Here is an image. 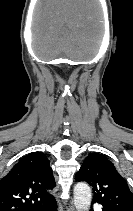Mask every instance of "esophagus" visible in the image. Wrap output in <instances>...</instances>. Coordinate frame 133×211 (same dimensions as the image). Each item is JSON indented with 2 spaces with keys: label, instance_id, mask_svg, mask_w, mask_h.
I'll return each mask as SVG.
<instances>
[{
  "label": "esophagus",
  "instance_id": "1",
  "mask_svg": "<svg viewBox=\"0 0 133 211\" xmlns=\"http://www.w3.org/2000/svg\"><path fill=\"white\" fill-rule=\"evenodd\" d=\"M68 211H76V210H75V207L71 204L68 208Z\"/></svg>",
  "mask_w": 133,
  "mask_h": 211
}]
</instances>
